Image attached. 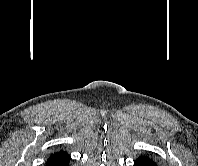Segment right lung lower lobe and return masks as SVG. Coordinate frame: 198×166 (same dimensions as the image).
I'll list each match as a JSON object with an SVG mask.
<instances>
[{"instance_id": "right-lung-lower-lobe-1", "label": "right lung lower lobe", "mask_w": 198, "mask_h": 166, "mask_svg": "<svg viewBox=\"0 0 198 166\" xmlns=\"http://www.w3.org/2000/svg\"><path fill=\"white\" fill-rule=\"evenodd\" d=\"M71 157L69 154L51 156L46 161V166H69Z\"/></svg>"}]
</instances>
